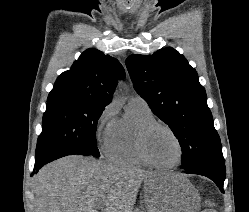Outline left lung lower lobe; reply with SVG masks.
I'll use <instances>...</instances> for the list:
<instances>
[{
	"label": "left lung lower lobe",
	"mask_w": 249,
	"mask_h": 212,
	"mask_svg": "<svg viewBox=\"0 0 249 212\" xmlns=\"http://www.w3.org/2000/svg\"><path fill=\"white\" fill-rule=\"evenodd\" d=\"M189 174L203 175L213 180L223 192V184L226 177L225 160L223 157L211 159L201 163L192 169L186 170Z\"/></svg>",
	"instance_id": "1"
}]
</instances>
